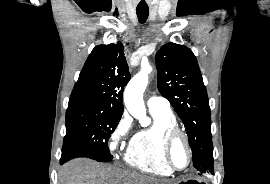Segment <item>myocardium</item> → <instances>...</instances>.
Masks as SVG:
<instances>
[{
	"label": "myocardium",
	"mask_w": 270,
	"mask_h": 184,
	"mask_svg": "<svg viewBox=\"0 0 270 184\" xmlns=\"http://www.w3.org/2000/svg\"><path fill=\"white\" fill-rule=\"evenodd\" d=\"M181 138L186 146L188 153V162L184 168H177L171 161V149L176 139ZM162 157L165 165L172 172H181L188 169L192 163L193 151L187 134L178 126L166 128L162 139Z\"/></svg>",
	"instance_id": "f54148a6"
}]
</instances>
